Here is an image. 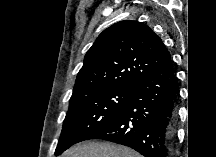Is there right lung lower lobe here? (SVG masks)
<instances>
[{
  "mask_svg": "<svg viewBox=\"0 0 216 157\" xmlns=\"http://www.w3.org/2000/svg\"><path fill=\"white\" fill-rule=\"evenodd\" d=\"M176 95L170 58L162 68L132 86L121 113L91 139L129 146L144 157H171Z\"/></svg>",
  "mask_w": 216,
  "mask_h": 157,
  "instance_id": "98d812e1",
  "label": "right lung lower lobe"
}]
</instances>
